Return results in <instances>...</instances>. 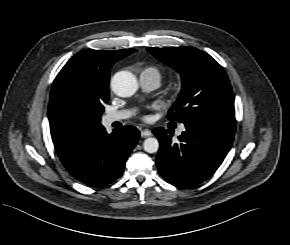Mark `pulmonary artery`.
<instances>
[{"label":"pulmonary artery","instance_id":"pulmonary-artery-1","mask_svg":"<svg viewBox=\"0 0 290 245\" xmlns=\"http://www.w3.org/2000/svg\"><path fill=\"white\" fill-rule=\"evenodd\" d=\"M140 84L146 91H152L159 87L160 85V75L157 72H145L140 75ZM132 115V112L129 110H120L109 112L104 115V123L109 125L117 121H123L128 119ZM184 127L182 126L179 129V132L183 131Z\"/></svg>","mask_w":290,"mask_h":245}]
</instances>
